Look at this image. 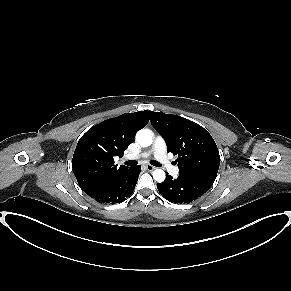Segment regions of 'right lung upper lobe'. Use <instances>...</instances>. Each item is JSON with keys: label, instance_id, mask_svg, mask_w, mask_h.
<instances>
[{"label": "right lung upper lobe", "instance_id": "obj_1", "mask_svg": "<svg viewBox=\"0 0 291 291\" xmlns=\"http://www.w3.org/2000/svg\"><path fill=\"white\" fill-rule=\"evenodd\" d=\"M148 110L125 113L90 128L79 140L72 159V170L80 188L92 194L126 171L117 167L115 156L134 141L136 132L149 122Z\"/></svg>", "mask_w": 291, "mask_h": 291}]
</instances>
